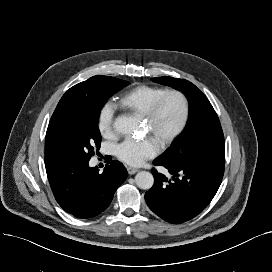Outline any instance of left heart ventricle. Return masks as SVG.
Masks as SVG:
<instances>
[{"label":"left heart ventricle","mask_w":272,"mask_h":272,"mask_svg":"<svg viewBox=\"0 0 272 272\" xmlns=\"http://www.w3.org/2000/svg\"><path fill=\"white\" fill-rule=\"evenodd\" d=\"M181 116V105L175 97L168 98L153 124L146 123V128L159 142L175 128Z\"/></svg>","instance_id":"b2bd125f"}]
</instances>
